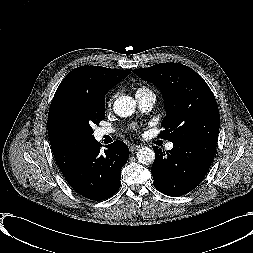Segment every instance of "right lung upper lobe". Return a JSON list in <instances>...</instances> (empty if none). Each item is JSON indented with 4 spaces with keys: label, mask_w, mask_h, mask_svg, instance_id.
I'll list each match as a JSON object with an SVG mask.
<instances>
[{
    "label": "right lung upper lobe",
    "mask_w": 253,
    "mask_h": 253,
    "mask_svg": "<svg viewBox=\"0 0 253 253\" xmlns=\"http://www.w3.org/2000/svg\"><path fill=\"white\" fill-rule=\"evenodd\" d=\"M100 66L75 68L61 82L51 102L48 135L52 152L63 175L76 165L94 141L80 136L74 123L79 118L78 99L81 95L104 98L105 94L131 72Z\"/></svg>",
    "instance_id": "right-lung-upper-lobe-1"
}]
</instances>
